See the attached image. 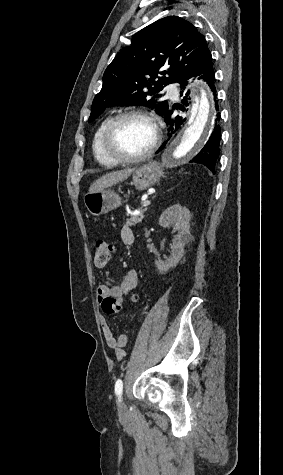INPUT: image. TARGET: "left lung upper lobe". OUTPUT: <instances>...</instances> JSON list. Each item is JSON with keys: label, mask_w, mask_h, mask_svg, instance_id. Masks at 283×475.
Masks as SVG:
<instances>
[{"label": "left lung upper lobe", "mask_w": 283, "mask_h": 475, "mask_svg": "<svg viewBox=\"0 0 283 475\" xmlns=\"http://www.w3.org/2000/svg\"><path fill=\"white\" fill-rule=\"evenodd\" d=\"M210 57L204 36L190 22L168 16L148 25L105 70L89 122L109 106H146L163 114L168 102L157 93Z\"/></svg>", "instance_id": "obj_1"}]
</instances>
